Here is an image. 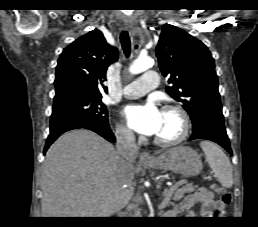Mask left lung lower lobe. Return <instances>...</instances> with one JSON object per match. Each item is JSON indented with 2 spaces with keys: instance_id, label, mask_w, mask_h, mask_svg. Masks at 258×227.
<instances>
[{
  "instance_id": "1",
  "label": "left lung lower lobe",
  "mask_w": 258,
  "mask_h": 227,
  "mask_svg": "<svg viewBox=\"0 0 258 227\" xmlns=\"http://www.w3.org/2000/svg\"><path fill=\"white\" fill-rule=\"evenodd\" d=\"M194 139H207L216 142L232 155L229 138L222 118L210 117L206 119L200 127L193 129L189 140Z\"/></svg>"
}]
</instances>
